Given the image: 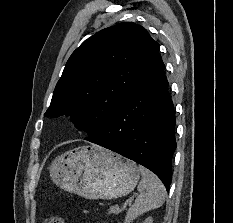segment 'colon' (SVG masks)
I'll return each instance as SVG.
<instances>
[{"label": "colon", "mask_w": 233, "mask_h": 223, "mask_svg": "<svg viewBox=\"0 0 233 223\" xmlns=\"http://www.w3.org/2000/svg\"><path fill=\"white\" fill-rule=\"evenodd\" d=\"M43 223H65V219L62 216H51L46 218Z\"/></svg>", "instance_id": "obj_1"}]
</instances>
